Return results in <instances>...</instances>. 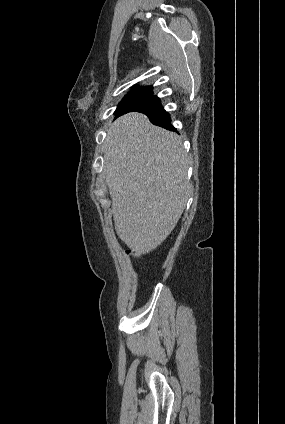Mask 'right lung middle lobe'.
I'll return each mask as SVG.
<instances>
[{"label": "right lung middle lobe", "mask_w": 285, "mask_h": 424, "mask_svg": "<svg viewBox=\"0 0 285 424\" xmlns=\"http://www.w3.org/2000/svg\"><path fill=\"white\" fill-rule=\"evenodd\" d=\"M152 94V86L134 88L118 104L115 111L116 117L119 116L133 102L148 97Z\"/></svg>", "instance_id": "obj_1"}]
</instances>
